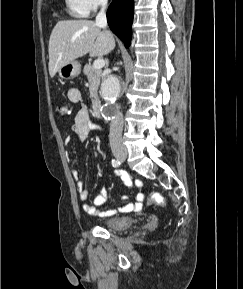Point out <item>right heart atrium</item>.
<instances>
[{
    "label": "right heart atrium",
    "mask_w": 243,
    "mask_h": 289,
    "mask_svg": "<svg viewBox=\"0 0 243 289\" xmlns=\"http://www.w3.org/2000/svg\"><path fill=\"white\" fill-rule=\"evenodd\" d=\"M69 4L83 15H90L105 6L107 0H67Z\"/></svg>",
    "instance_id": "right-heart-atrium-1"
}]
</instances>
